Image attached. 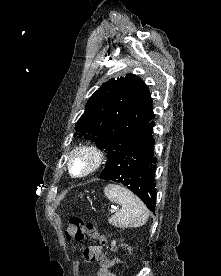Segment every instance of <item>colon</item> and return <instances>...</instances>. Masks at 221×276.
<instances>
[{"label": "colon", "mask_w": 221, "mask_h": 276, "mask_svg": "<svg viewBox=\"0 0 221 276\" xmlns=\"http://www.w3.org/2000/svg\"><path fill=\"white\" fill-rule=\"evenodd\" d=\"M65 236L68 241H82V240H97L101 245L106 243L104 236H102L95 225L91 222H86L78 217H72L69 219ZM116 263L118 259L114 257L112 260H109L107 267L110 269Z\"/></svg>", "instance_id": "5ec220e1"}]
</instances>
